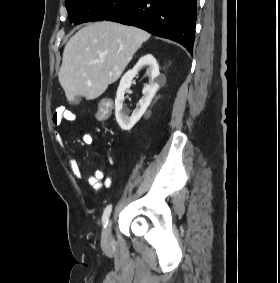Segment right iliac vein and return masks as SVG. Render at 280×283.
Segmentation results:
<instances>
[{
  "mask_svg": "<svg viewBox=\"0 0 280 283\" xmlns=\"http://www.w3.org/2000/svg\"><path fill=\"white\" fill-rule=\"evenodd\" d=\"M113 244V238L111 235V221H109L107 228L102 234V246L104 249H109Z\"/></svg>",
  "mask_w": 280,
  "mask_h": 283,
  "instance_id": "obj_1",
  "label": "right iliac vein"
}]
</instances>
